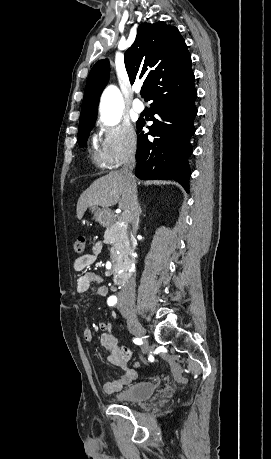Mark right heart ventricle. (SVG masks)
<instances>
[{"label": "right heart ventricle", "mask_w": 271, "mask_h": 459, "mask_svg": "<svg viewBox=\"0 0 271 459\" xmlns=\"http://www.w3.org/2000/svg\"><path fill=\"white\" fill-rule=\"evenodd\" d=\"M93 158H94L95 161L98 160V159H97V155H93Z\"/></svg>", "instance_id": "right-heart-ventricle-1"}]
</instances>
